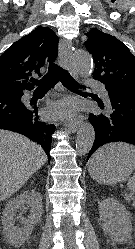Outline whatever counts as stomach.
Segmentation results:
<instances>
[{"label": "stomach", "mask_w": 135, "mask_h": 249, "mask_svg": "<svg viewBox=\"0 0 135 249\" xmlns=\"http://www.w3.org/2000/svg\"><path fill=\"white\" fill-rule=\"evenodd\" d=\"M89 173L96 181L115 184L125 181L135 170V161L117 154L101 156L94 163L88 164Z\"/></svg>", "instance_id": "stomach-1"}]
</instances>
